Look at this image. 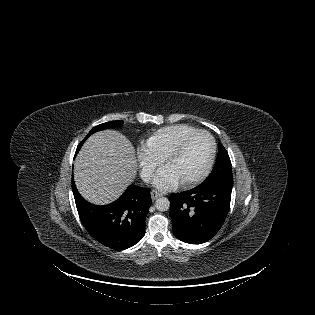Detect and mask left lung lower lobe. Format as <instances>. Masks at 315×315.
Listing matches in <instances>:
<instances>
[{
    "mask_svg": "<svg viewBox=\"0 0 315 315\" xmlns=\"http://www.w3.org/2000/svg\"><path fill=\"white\" fill-rule=\"evenodd\" d=\"M233 184H205L173 193L169 200L175 236L183 242L201 244L211 239L228 214Z\"/></svg>",
    "mask_w": 315,
    "mask_h": 315,
    "instance_id": "left-lung-lower-lobe-1",
    "label": "left lung lower lobe"
}]
</instances>
